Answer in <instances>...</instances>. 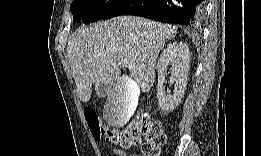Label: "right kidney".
<instances>
[{
    "mask_svg": "<svg viewBox=\"0 0 261 156\" xmlns=\"http://www.w3.org/2000/svg\"><path fill=\"white\" fill-rule=\"evenodd\" d=\"M171 66V80L174 81L173 94L165 92V73ZM158 85L157 98L159 107L165 111H172L181 101L188 78L189 71V48L183 42H173L163 50L157 64ZM121 82V81H120ZM122 84V83H121ZM123 85V84H122Z\"/></svg>",
    "mask_w": 261,
    "mask_h": 156,
    "instance_id": "ca27d5eb",
    "label": "right kidney"
}]
</instances>
